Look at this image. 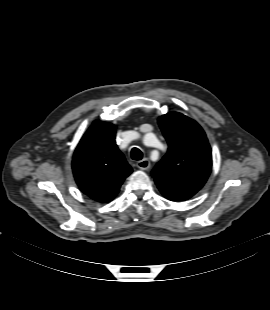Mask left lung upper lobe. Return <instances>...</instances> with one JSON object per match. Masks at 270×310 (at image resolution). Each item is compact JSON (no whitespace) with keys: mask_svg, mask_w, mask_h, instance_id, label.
I'll return each mask as SVG.
<instances>
[{"mask_svg":"<svg viewBox=\"0 0 270 310\" xmlns=\"http://www.w3.org/2000/svg\"><path fill=\"white\" fill-rule=\"evenodd\" d=\"M158 123L168 152L152 172L156 184L199 191L212 168L211 148L203 129L177 112L161 116Z\"/></svg>","mask_w":270,"mask_h":310,"instance_id":"obj_1","label":"left lung upper lobe"}]
</instances>
